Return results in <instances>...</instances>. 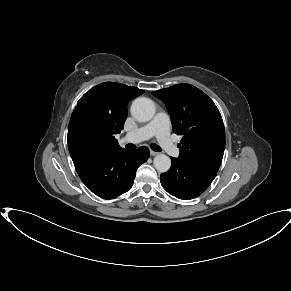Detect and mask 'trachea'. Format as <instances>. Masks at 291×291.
Returning a JSON list of instances; mask_svg holds the SVG:
<instances>
[{"label": "trachea", "instance_id": "3493384b", "mask_svg": "<svg viewBox=\"0 0 291 291\" xmlns=\"http://www.w3.org/2000/svg\"><path fill=\"white\" fill-rule=\"evenodd\" d=\"M136 146L134 144H128V149H135ZM150 148L155 151V152H160L162 149L160 148L159 145H156L154 143L150 144Z\"/></svg>", "mask_w": 291, "mask_h": 291}]
</instances>
